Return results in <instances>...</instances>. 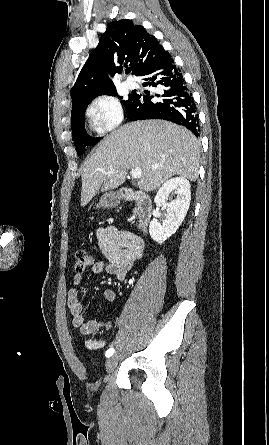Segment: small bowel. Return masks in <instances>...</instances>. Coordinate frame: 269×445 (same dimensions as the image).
I'll return each instance as SVG.
<instances>
[{"instance_id":"c3829d8e","label":"small bowel","mask_w":269,"mask_h":445,"mask_svg":"<svg viewBox=\"0 0 269 445\" xmlns=\"http://www.w3.org/2000/svg\"><path fill=\"white\" fill-rule=\"evenodd\" d=\"M99 248L105 257V261L93 263L88 272L92 275H100L103 272L113 274L119 281H124L134 263L142 256L143 241L137 235L119 230L114 226L101 227L96 233ZM83 272H77L73 278L74 288L68 292V307L72 315V323L80 331L81 335L95 333L103 327L111 325V315L105 323L95 319L85 320L83 317V304L79 300L78 286L83 282ZM117 293L112 289L102 292V299L107 302H116ZM104 339H89L85 342L88 350H98L105 346Z\"/></svg>"}]
</instances>
